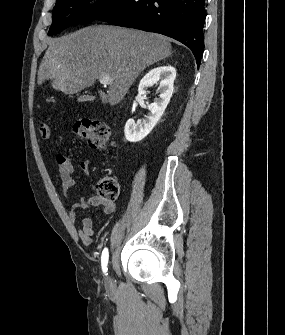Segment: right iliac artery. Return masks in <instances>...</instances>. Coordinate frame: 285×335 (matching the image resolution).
<instances>
[{
	"label": "right iliac artery",
	"instance_id": "obj_1",
	"mask_svg": "<svg viewBox=\"0 0 285 335\" xmlns=\"http://www.w3.org/2000/svg\"><path fill=\"white\" fill-rule=\"evenodd\" d=\"M108 257H109L108 249L105 248L101 256L102 270L104 273L107 272Z\"/></svg>",
	"mask_w": 285,
	"mask_h": 335
}]
</instances>
